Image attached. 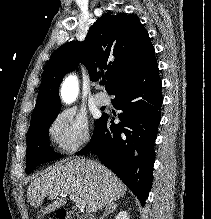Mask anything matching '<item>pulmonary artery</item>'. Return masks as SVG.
Instances as JSON below:
<instances>
[{"label": "pulmonary artery", "mask_w": 211, "mask_h": 219, "mask_svg": "<svg viewBox=\"0 0 211 219\" xmlns=\"http://www.w3.org/2000/svg\"><path fill=\"white\" fill-rule=\"evenodd\" d=\"M94 101L99 106L107 105L109 103V97L106 93L99 92L95 95Z\"/></svg>", "instance_id": "pulmonary-artery-1"}]
</instances>
